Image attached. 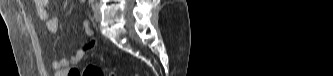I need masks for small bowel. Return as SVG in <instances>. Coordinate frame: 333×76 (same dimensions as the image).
I'll return each instance as SVG.
<instances>
[{
	"mask_svg": "<svg viewBox=\"0 0 333 76\" xmlns=\"http://www.w3.org/2000/svg\"><path fill=\"white\" fill-rule=\"evenodd\" d=\"M48 1L46 0H36L34 4L36 5L39 13V17L43 20L50 32L56 33L59 30L58 21L52 18L47 10ZM85 31L87 35L91 36L93 30L90 27L88 21L84 23ZM94 48V42L92 39L87 40L83 43L69 59H56L52 62V68L54 70L55 76H84L81 68H77V64L82 60V58Z\"/></svg>",
	"mask_w": 333,
	"mask_h": 76,
	"instance_id": "c3829d8e",
	"label": "small bowel"
}]
</instances>
